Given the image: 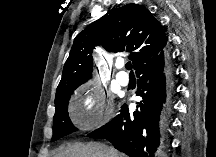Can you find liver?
I'll use <instances>...</instances> for the list:
<instances>
[{
    "label": "liver",
    "instance_id": "1",
    "mask_svg": "<svg viewBox=\"0 0 216 157\" xmlns=\"http://www.w3.org/2000/svg\"><path fill=\"white\" fill-rule=\"evenodd\" d=\"M54 157H123V154L113 147L91 142L86 145L75 144L67 146L56 153Z\"/></svg>",
    "mask_w": 216,
    "mask_h": 157
}]
</instances>
